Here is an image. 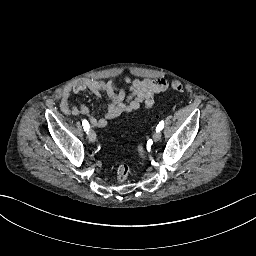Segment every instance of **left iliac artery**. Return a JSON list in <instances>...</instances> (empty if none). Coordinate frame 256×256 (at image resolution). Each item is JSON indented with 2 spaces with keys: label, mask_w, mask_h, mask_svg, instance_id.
<instances>
[{
  "label": "left iliac artery",
  "mask_w": 256,
  "mask_h": 256,
  "mask_svg": "<svg viewBox=\"0 0 256 256\" xmlns=\"http://www.w3.org/2000/svg\"><path fill=\"white\" fill-rule=\"evenodd\" d=\"M164 128V121L162 120L156 127V131H161Z\"/></svg>",
  "instance_id": "left-iliac-artery-1"
}]
</instances>
